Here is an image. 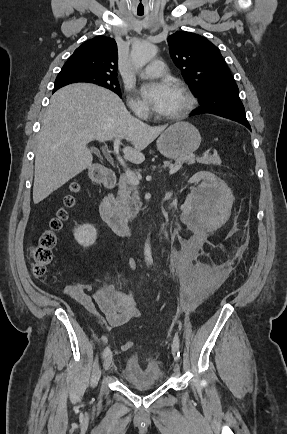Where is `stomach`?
<instances>
[{
	"label": "stomach",
	"mask_w": 287,
	"mask_h": 434,
	"mask_svg": "<svg viewBox=\"0 0 287 434\" xmlns=\"http://www.w3.org/2000/svg\"><path fill=\"white\" fill-rule=\"evenodd\" d=\"M200 143V133L192 124L177 122L161 133L157 148L163 156L178 159L193 153Z\"/></svg>",
	"instance_id": "1"
}]
</instances>
